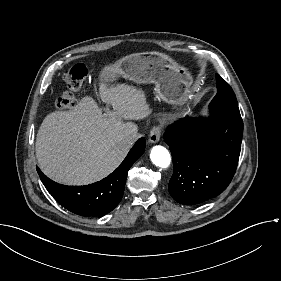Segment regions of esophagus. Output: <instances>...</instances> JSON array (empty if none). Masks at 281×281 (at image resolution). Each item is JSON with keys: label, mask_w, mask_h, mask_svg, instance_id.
<instances>
[{"label": "esophagus", "mask_w": 281, "mask_h": 281, "mask_svg": "<svg viewBox=\"0 0 281 281\" xmlns=\"http://www.w3.org/2000/svg\"><path fill=\"white\" fill-rule=\"evenodd\" d=\"M161 127L156 125L150 130L149 134V142L150 143H157L160 139Z\"/></svg>", "instance_id": "1"}]
</instances>
